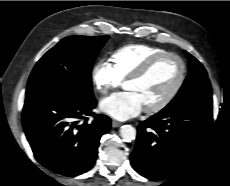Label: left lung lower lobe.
<instances>
[{
    "instance_id": "0a47b994",
    "label": "left lung lower lobe",
    "mask_w": 230,
    "mask_h": 186,
    "mask_svg": "<svg viewBox=\"0 0 230 186\" xmlns=\"http://www.w3.org/2000/svg\"><path fill=\"white\" fill-rule=\"evenodd\" d=\"M212 120V100L161 110L138 127L133 168L149 179L173 177L204 145Z\"/></svg>"
}]
</instances>
